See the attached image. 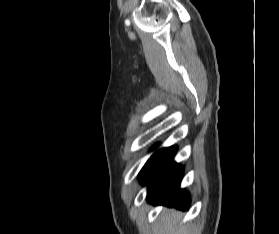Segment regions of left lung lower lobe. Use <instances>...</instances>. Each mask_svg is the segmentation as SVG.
<instances>
[{"instance_id":"1","label":"left lung lower lobe","mask_w":279,"mask_h":234,"mask_svg":"<svg viewBox=\"0 0 279 234\" xmlns=\"http://www.w3.org/2000/svg\"><path fill=\"white\" fill-rule=\"evenodd\" d=\"M176 147L156 152L139 173L142 184L148 186V201L186 210L189 194L179 189L182 179L181 167L173 162Z\"/></svg>"}]
</instances>
